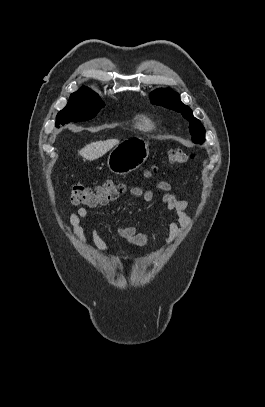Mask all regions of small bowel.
I'll use <instances>...</instances> for the list:
<instances>
[{
    "mask_svg": "<svg viewBox=\"0 0 265 407\" xmlns=\"http://www.w3.org/2000/svg\"><path fill=\"white\" fill-rule=\"evenodd\" d=\"M157 189L162 192V201L169 211L170 222L168 224V235L166 244L174 243L188 228L191 223L190 216L186 210L188 203L186 200L178 197L171 192V185L167 181H159ZM130 194L133 197H142L145 202H151L154 198V193L151 190H143L140 187H132ZM88 217V210L84 207L79 208L76 212H72L68 219V230L80 241L84 246H89V241L86 237L82 221ZM118 234L126 239L130 244L141 246L148 244L151 241V235L146 232L139 231L135 226H117ZM92 244L95 249L102 252H109L108 243L102 238L97 227L91 229Z\"/></svg>",
    "mask_w": 265,
    "mask_h": 407,
    "instance_id": "1",
    "label": "small bowel"
}]
</instances>
